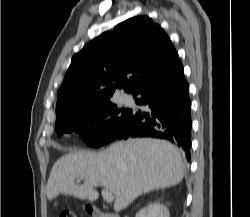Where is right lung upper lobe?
<instances>
[{"instance_id": "1", "label": "right lung upper lobe", "mask_w": 250, "mask_h": 217, "mask_svg": "<svg viewBox=\"0 0 250 217\" xmlns=\"http://www.w3.org/2000/svg\"><path fill=\"white\" fill-rule=\"evenodd\" d=\"M177 56L167 34L151 18L127 19L73 56L57 93L56 121L74 111L110 101L117 88L133 94L161 74Z\"/></svg>"}]
</instances>
